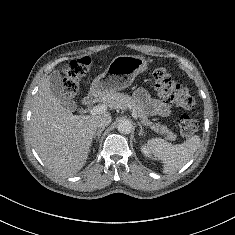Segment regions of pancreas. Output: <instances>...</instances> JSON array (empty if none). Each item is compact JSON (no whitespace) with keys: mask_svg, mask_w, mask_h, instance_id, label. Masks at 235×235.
I'll return each mask as SVG.
<instances>
[{"mask_svg":"<svg viewBox=\"0 0 235 235\" xmlns=\"http://www.w3.org/2000/svg\"><path fill=\"white\" fill-rule=\"evenodd\" d=\"M101 102L115 109H134L144 125H149L156 132L165 135L167 140L174 141L177 138L176 134H174L168 127L158 123L152 124L148 121L147 115L129 95L118 92H110L102 97Z\"/></svg>","mask_w":235,"mask_h":235,"instance_id":"1","label":"pancreas"}]
</instances>
